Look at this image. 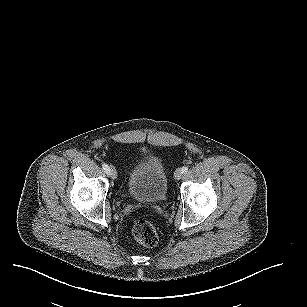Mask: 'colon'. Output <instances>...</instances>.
<instances>
[{
    "instance_id": "1",
    "label": "colon",
    "mask_w": 307,
    "mask_h": 307,
    "mask_svg": "<svg viewBox=\"0 0 307 307\" xmlns=\"http://www.w3.org/2000/svg\"><path fill=\"white\" fill-rule=\"evenodd\" d=\"M132 234L135 240L145 247H153L158 243L156 228L150 221H136L132 228Z\"/></svg>"
}]
</instances>
